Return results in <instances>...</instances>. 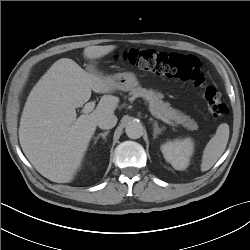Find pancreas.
<instances>
[{"instance_id": "obj_1", "label": "pancreas", "mask_w": 250, "mask_h": 250, "mask_svg": "<svg viewBox=\"0 0 250 250\" xmlns=\"http://www.w3.org/2000/svg\"><path fill=\"white\" fill-rule=\"evenodd\" d=\"M130 95L134 97H142L148 101L152 114L155 115V113H159L166 119L174 121L176 124L183 125L188 130L193 131L198 129V125L193 119L185 115L180 110L171 107L170 103L164 102L162 100L163 95L161 93H157L152 89L147 90L142 87H137L130 92Z\"/></svg>"}]
</instances>
